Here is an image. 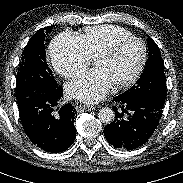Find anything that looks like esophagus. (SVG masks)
Returning <instances> with one entry per match:
<instances>
[{"instance_id": "1", "label": "esophagus", "mask_w": 183, "mask_h": 183, "mask_svg": "<svg viewBox=\"0 0 183 183\" xmlns=\"http://www.w3.org/2000/svg\"><path fill=\"white\" fill-rule=\"evenodd\" d=\"M75 109L77 112H83V111H91L95 109V106L92 105H86L82 102H77L75 105Z\"/></svg>"}]
</instances>
